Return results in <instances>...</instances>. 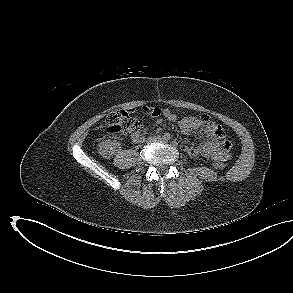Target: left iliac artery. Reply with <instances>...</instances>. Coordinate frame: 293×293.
<instances>
[{"mask_svg": "<svg viewBox=\"0 0 293 293\" xmlns=\"http://www.w3.org/2000/svg\"><path fill=\"white\" fill-rule=\"evenodd\" d=\"M173 144H174V145H177V142H176V141H173Z\"/></svg>", "mask_w": 293, "mask_h": 293, "instance_id": "obj_1", "label": "left iliac artery"}]
</instances>
